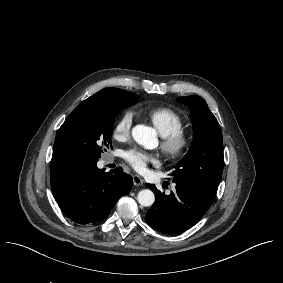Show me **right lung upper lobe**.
Instances as JSON below:
<instances>
[{"instance_id":"right-lung-upper-lobe-1","label":"right lung upper lobe","mask_w":283,"mask_h":283,"mask_svg":"<svg viewBox=\"0 0 283 283\" xmlns=\"http://www.w3.org/2000/svg\"><path fill=\"white\" fill-rule=\"evenodd\" d=\"M123 94H132V93L121 90V89H117V88H105L97 92L96 94L92 95L91 97L87 98L86 100H84L77 108L83 105H86V104L99 103L109 98L116 97V96L123 95ZM70 163L71 162L69 161V159L61 151L59 140H58V137L56 136L54 148H53L52 160L50 163V169L62 167Z\"/></svg>"}]
</instances>
